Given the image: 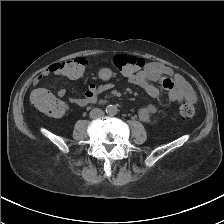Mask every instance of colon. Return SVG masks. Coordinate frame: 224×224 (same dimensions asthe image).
<instances>
[{
	"label": "colon",
	"instance_id": "colon-1",
	"mask_svg": "<svg viewBox=\"0 0 224 224\" xmlns=\"http://www.w3.org/2000/svg\"><path fill=\"white\" fill-rule=\"evenodd\" d=\"M111 61L124 75L135 74L145 67V61L142 58L131 55L118 54L113 56ZM88 65L87 59L77 57L60 62L59 69L62 76L78 79L85 73ZM31 101L38 110L51 117H62L67 111L66 104L45 88L34 89L31 93ZM179 111L186 119H191L196 115V108L189 101L183 102Z\"/></svg>",
	"mask_w": 224,
	"mask_h": 224
}]
</instances>
